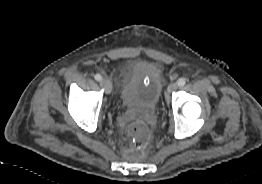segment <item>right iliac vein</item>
Listing matches in <instances>:
<instances>
[{"label":"right iliac vein","mask_w":262,"mask_h":184,"mask_svg":"<svg viewBox=\"0 0 262 184\" xmlns=\"http://www.w3.org/2000/svg\"><path fill=\"white\" fill-rule=\"evenodd\" d=\"M101 85L104 87L105 92H106L107 94H110V93H111V91H112V83H111L110 80H108V79H102V80H101Z\"/></svg>","instance_id":"1"}]
</instances>
